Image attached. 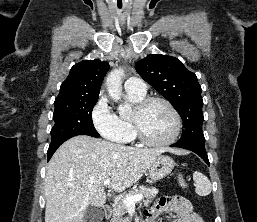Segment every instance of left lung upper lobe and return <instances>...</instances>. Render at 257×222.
Here are the masks:
<instances>
[{
	"instance_id": "obj_1",
	"label": "left lung upper lobe",
	"mask_w": 257,
	"mask_h": 222,
	"mask_svg": "<svg viewBox=\"0 0 257 222\" xmlns=\"http://www.w3.org/2000/svg\"><path fill=\"white\" fill-rule=\"evenodd\" d=\"M135 68L181 116L184 130L178 142L205 143L202 131L203 100L196 75L177 58L162 54L148 55L138 61Z\"/></svg>"
}]
</instances>
